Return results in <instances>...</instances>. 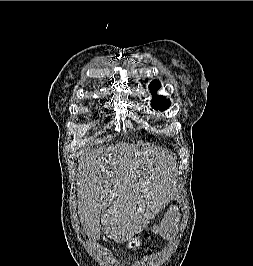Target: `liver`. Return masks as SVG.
Instances as JSON below:
<instances>
[{"label": "liver", "mask_w": 253, "mask_h": 266, "mask_svg": "<svg viewBox=\"0 0 253 266\" xmlns=\"http://www.w3.org/2000/svg\"><path fill=\"white\" fill-rule=\"evenodd\" d=\"M168 161L164 153L128 143L85 155L80 162L78 207L92 242L99 239L101 225L103 233L120 244L146 228L154 216L158 180Z\"/></svg>", "instance_id": "6515ba94"}]
</instances>
